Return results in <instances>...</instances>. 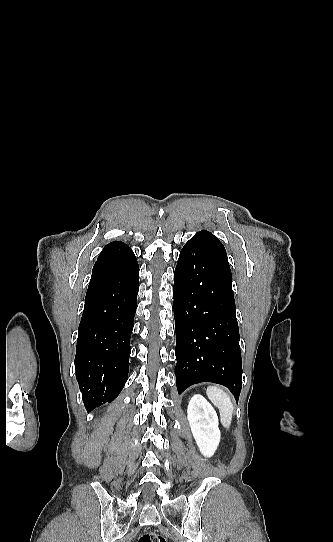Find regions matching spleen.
<instances>
[{
  "label": "spleen",
  "mask_w": 333,
  "mask_h": 542,
  "mask_svg": "<svg viewBox=\"0 0 333 542\" xmlns=\"http://www.w3.org/2000/svg\"><path fill=\"white\" fill-rule=\"evenodd\" d=\"M206 394L211 400L212 404L216 406L219 410L220 414V422L223 426V428H230L232 424V418H233V404L231 402L230 396L224 392V390H221V388H217V386H208L206 390Z\"/></svg>",
  "instance_id": "obj_1"
}]
</instances>
